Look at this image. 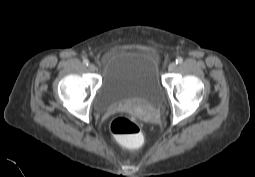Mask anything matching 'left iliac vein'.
<instances>
[{"instance_id": "1", "label": "left iliac vein", "mask_w": 255, "mask_h": 177, "mask_svg": "<svg viewBox=\"0 0 255 177\" xmlns=\"http://www.w3.org/2000/svg\"><path fill=\"white\" fill-rule=\"evenodd\" d=\"M176 66L177 65L174 62L170 63L168 66V71H170V72L174 71Z\"/></svg>"}]
</instances>
